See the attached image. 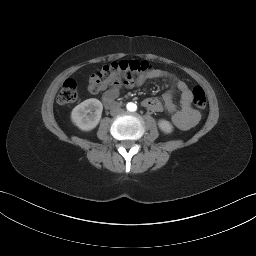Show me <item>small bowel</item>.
Segmentation results:
<instances>
[{"instance_id": "obj_1", "label": "small bowel", "mask_w": 256, "mask_h": 256, "mask_svg": "<svg viewBox=\"0 0 256 256\" xmlns=\"http://www.w3.org/2000/svg\"><path fill=\"white\" fill-rule=\"evenodd\" d=\"M166 78L171 81V87L163 95V104L157 98L149 97L143 100L142 105L152 111L159 112L163 107L171 114L173 124L181 130H189L200 120V113L191 106L192 93L188 85L173 74L155 70L154 72L137 78L120 79L109 84L104 92V97L115 99L122 89H132L142 85L147 79ZM105 85L102 89H105ZM180 93V106L175 105L173 98L175 92Z\"/></svg>"}]
</instances>
